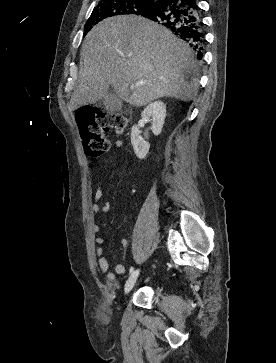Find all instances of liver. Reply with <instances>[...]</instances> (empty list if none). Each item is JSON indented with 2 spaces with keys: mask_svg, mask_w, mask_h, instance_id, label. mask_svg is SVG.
I'll list each match as a JSON object with an SVG mask.
<instances>
[{
  "mask_svg": "<svg viewBox=\"0 0 276 363\" xmlns=\"http://www.w3.org/2000/svg\"><path fill=\"white\" fill-rule=\"evenodd\" d=\"M80 55L84 68L72 110L101 100L110 86L120 100L137 107L162 97L188 101L198 93V67L189 45L140 16L100 22L85 37Z\"/></svg>",
  "mask_w": 276,
  "mask_h": 363,
  "instance_id": "obj_1",
  "label": "liver"
}]
</instances>
